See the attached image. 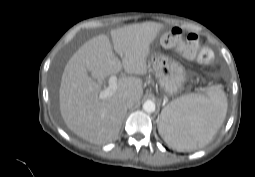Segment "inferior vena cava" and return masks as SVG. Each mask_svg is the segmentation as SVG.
Segmentation results:
<instances>
[{"label": "inferior vena cava", "instance_id": "602c4592", "mask_svg": "<svg viewBox=\"0 0 255 177\" xmlns=\"http://www.w3.org/2000/svg\"><path fill=\"white\" fill-rule=\"evenodd\" d=\"M135 103H136V102H135V100H134L133 98H127V99L124 101V106H125V108L128 109V108L133 107Z\"/></svg>", "mask_w": 255, "mask_h": 177}]
</instances>
